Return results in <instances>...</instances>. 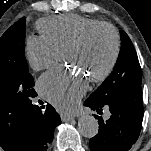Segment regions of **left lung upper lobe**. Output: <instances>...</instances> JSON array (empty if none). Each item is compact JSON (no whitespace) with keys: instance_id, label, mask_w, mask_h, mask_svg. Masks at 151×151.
Segmentation results:
<instances>
[{"instance_id":"5c2ea615","label":"left lung upper lobe","mask_w":151,"mask_h":151,"mask_svg":"<svg viewBox=\"0 0 151 151\" xmlns=\"http://www.w3.org/2000/svg\"><path fill=\"white\" fill-rule=\"evenodd\" d=\"M121 34V49L116 65L110 76L89 96L101 107L120 97L133 84H141L142 71L135 48L124 31Z\"/></svg>"}]
</instances>
